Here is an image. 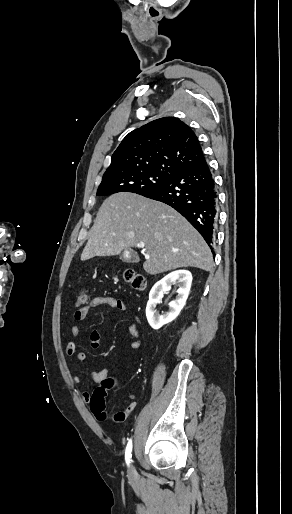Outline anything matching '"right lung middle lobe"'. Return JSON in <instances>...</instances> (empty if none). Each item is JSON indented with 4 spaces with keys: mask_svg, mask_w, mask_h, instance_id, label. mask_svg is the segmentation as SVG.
I'll use <instances>...</instances> for the list:
<instances>
[{
    "mask_svg": "<svg viewBox=\"0 0 292 514\" xmlns=\"http://www.w3.org/2000/svg\"><path fill=\"white\" fill-rule=\"evenodd\" d=\"M172 174L167 172H145L102 179L97 195L107 196L118 192L143 195L166 182Z\"/></svg>",
    "mask_w": 292,
    "mask_h": 514,
    "instance_id": "1",
    "label": "right lung middle lobe"
}]
</instances>
